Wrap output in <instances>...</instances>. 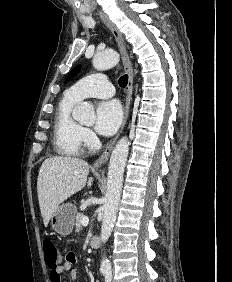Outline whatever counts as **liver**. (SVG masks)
Returning <instances> with one entry per match:
<instances>
[{
	"mask_svg": "<svg viewBox=\"0 0 232 282\" xmlns=\"http://www.w3.org/2000/svg\"><path fill=\"white\" fill-rule=\"evenodd\" d=\"M88 173V163L79 158L55 156L42 163L37 179V193L45 227L61 203L83 189L86 183L91 187L93 178L87 182Z\"/></svg>",
	"mask_w": 232,
	"mask_h": 282,
	"instance_id": "liver-1",
	"label": "liver"
}]
</instances>
